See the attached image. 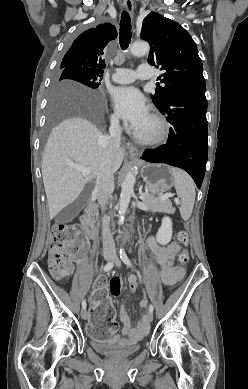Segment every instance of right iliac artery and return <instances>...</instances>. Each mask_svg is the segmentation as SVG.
Returning a JSON list of instances; mask_svg holds the SVG:
<instances>
[{"instance_id": "82829eb1", "label": "right iliac artery", "mask_w": 248, "mask_h": 389, "mask_svg": "<svg viewBox=\"0 0 248 389\" xmlns=\"http://www.w3.org/2000/svg\"><path fill=\"white\" fill-rule=\"evenodd\" d=\"M113 265H114V262H113V261L108 262V263L105 265V267H104V271H109V270H111V269L113 268ZM86 306H87L86 301L83 300V301H82V308H83V309H86Z\"/></svg>"}]
</instances>
